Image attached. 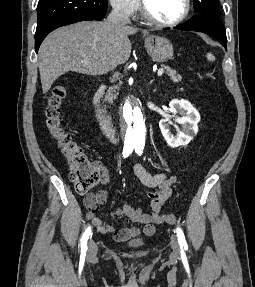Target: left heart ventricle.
Returning a JSON list of instances; mask_svg holds the SVG:
<instances>
[{"mask_svg": "<svg viewBox=\"0 0 255 287\" xmlns=\"http://www.w3.org/2000/svg\"><path fill=\"white\" fill-rule=\"evenodd\" d=\"M118 33H129V32H118ZM151 33H169V32H151ZM118 39H130V38H118ZM150 39H165V38H150ZM119 48H129V47H119ZM150 48H163V47H150Z\"/></svg>", "mask_w": 255, "mask_h": 287, "instance_id": "b2bd125f", "label": "left heart ventricle"}]
</instances>
